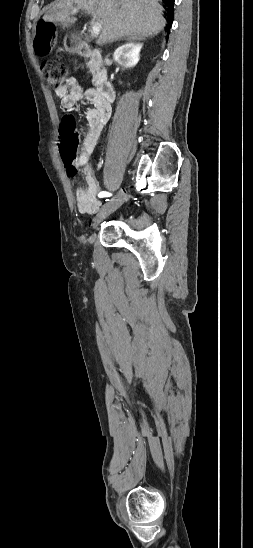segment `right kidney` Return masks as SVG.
Segmentation results:
<instances>
[{
    "label": "right kidney",
    "mask_w": 253,
    "mask_h": 548,
    "mask_svg": "<svg viewBox=\"0 0 253 548\" xmlns=\"http://www.w3.org/2000/svg\"><path fill=\"white\" fill-rule=\"evenodd\" d=\"M141 48L142 44L140 43H126L115 50L113 58L124 68H132L139 61V52Z\"/></svg>",
    "instance_id": "right-kidney-1"
}]
</instances>
